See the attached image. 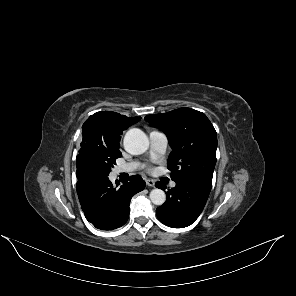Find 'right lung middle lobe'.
<instances>
[{
    "instance_id": "obj_1",
    "label": "right lung middle lobe",
    "mask_w": 296,
    "mask_h": 296,
    "mask_svg": "<svg viewBox=\"0 0 296 296\" xmlns=\"http://www.w3.org/2000/svg\"><path fill=\"white\" fill-rule=\"evenodd\" d=\"M79 155L93 159L105 173L109 174L111 167L116 164V159L121 157L119 141L103 143L83 139Z\"/></svg>"
}]
</instances>
